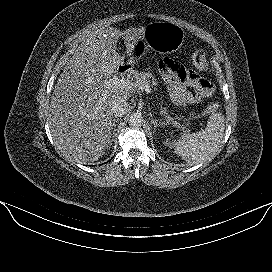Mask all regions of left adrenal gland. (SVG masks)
I'll list each match as a JSON object with an SVG mask.
<instances>
[{"instance_id":"obj_1","label":"left adrenal gland","mask_w":272,"mask_h":272,"mask_svg":"<svg viewBox=\"0 0 272 272\" xmlns=\"http://www.w3.org/2000/svg\"><path fill=\"white\" fill-rule=\"evenodd\" d=\"M151 123L154 125V127H159V126L165 125V123L161 119H159V120H157V119L153 120L152 119Z\"/></svg>"}]
</instances>
